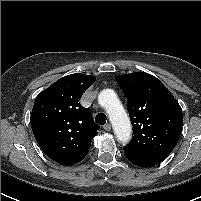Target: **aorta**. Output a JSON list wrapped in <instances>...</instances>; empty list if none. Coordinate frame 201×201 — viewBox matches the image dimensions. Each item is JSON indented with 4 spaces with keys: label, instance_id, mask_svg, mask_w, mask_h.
I'll return each instance as SVG.
<instances>
[{
    "label": "aorta",
    "instance_id": "762f6f07",
    "mask_svg": "<svg viewBox=\"0 0 201 201\" xmlns=\"http://www.w3.org/2000/svg\"><path fill=\"white\" fill-rule=\"evenodd\" d=\"M98 100L107 110L117 139L121 142H127L131 136V124L129 117L118 100L114 90H102Z\"/></svg>",
    "mask_w": 201,
    "mask_h": 201
}]
</instances>
